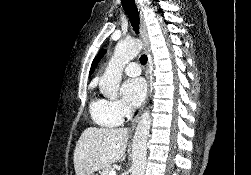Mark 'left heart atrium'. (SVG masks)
Wrapping results in <instances>:
<instances>
[{
    "label": "left heart atrium",
    "mask_w": 251,
    "mask_h": 175,
    "mask_svg": "<svg viewBox=\"0 0 251 175\" xmlns=\"http://www.w3.org/2000/svg\"><path fill=\"white\" fill-rule=\"evenodd\" d=\"M146 93V85L141 77L127 79L121 87L124 102L131 108H136L143 101Z\"/></svg>",
    "instance_id": "39dd6f15"
}]
</instances>
